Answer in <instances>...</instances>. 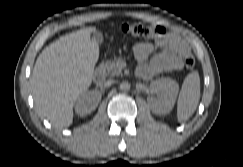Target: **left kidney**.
I'll list each match as a JSON object with an SVG mask.
<instances>
[{
    "label": "left kidney",
    "mask_w": 243,
    "mask_h": 167,
    "mask_svg": "<svg viewBox=\"0 0 243 167\" xmlns=\"http://www.w3.org/2000/svg\"><path fill=\"white\" fill-rule=\"evenodd\" d=\"M150 88L152 92L160 93V99L148 97L147 102L151 111L158 115L169 113L176 101L179 86L176 81L169 78H162L151 82Z\"/></svg>",
    "instance_id": "1"
}]
</instances>
